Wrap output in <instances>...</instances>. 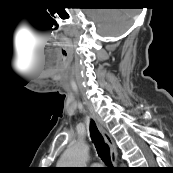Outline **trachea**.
I'll list each match as a JSON object with an SVG mask.
<instances>
[{
	"instance_id": "trachea-1",
	"label": "trachea",
	"mask_w": 173,
	"mask_h": 173,
	"mask_svg": "<svg viewBox=\"0 0 173 173\" xmlns=\"http://www.w3.org/2000/svg\"><path fill=\"white\" fill-rule=\"evenodd\" d=\"M90 136L101 160L105 164L112 166L111 158H110V148L108 144L104 141L103 136L97 129L93 120L91 121V124H90Z\"/></svg>"
}]
</instances>
